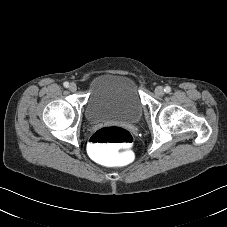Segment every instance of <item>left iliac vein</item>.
Wrapping results in <instances>:
<instances>
[{
  "instance_id": "4c4485c4",
  "label": "left iliac vein",
  "mask_w": 227,
  "mask_h": 227,
  "mask_svg": "<svg viewBox=\"0 0 227 227\" xmlns=\"http://www.w3.org/2000/svg\"><path fill=\"white\" fill-rule=\"evenodd\" d=\"M155 93L159 96H162L164 94V89L163 87L161 86H158L156 89H155Z\"/></svg>"
}]
</instances>
